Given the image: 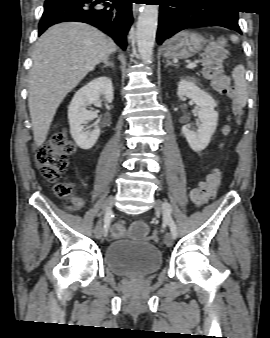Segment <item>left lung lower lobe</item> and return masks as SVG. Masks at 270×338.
I'll return each mask as SVG.
<instances>
[{"label":"left lung lower lobe","instance_id":"obj_1","mask_svg":"<svg viewBox=\"0 0 270 338\" xmlns=\"http://www.w3.org/2000/svg\"><path fill=\"white\" fill-rule=\"evenodd\" d=\"M223 0H163L156 40L161 44L177 32L204 26H221L241 33L238 11L223 8Z\"/></svg>","mask_w":270,"mask_h":338}]
</instances>
